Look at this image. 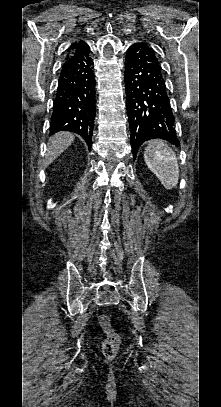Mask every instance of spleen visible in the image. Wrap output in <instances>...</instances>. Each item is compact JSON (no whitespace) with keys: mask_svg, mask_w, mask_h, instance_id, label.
Returning <instances> with one entry per match:
<instances>
[{"mask_svg":"<svg viewBox=\"0 0 221 407\" xmlns=\"http://www.w3.org/2000/svg\"><path fill=\"white\" fill-rule=\"evenodd\" d=\"M144 159L148 168L166 189L174 188L179 180V166L175 153L162 140L150 141Z\"/></svg>","mask_w":221,"mask_h":407,"instance_id":"3e777b00","label":"spleen"}]
</instances>
